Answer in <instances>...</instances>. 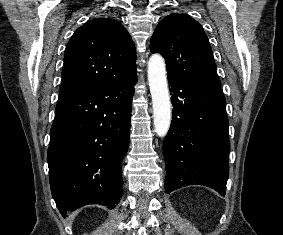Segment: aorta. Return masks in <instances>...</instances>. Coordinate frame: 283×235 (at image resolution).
I'll use <instances>...</instances> for the list:
<instances>
[{
    "mask_svg": "<svg viewBox=\"0 0 283 235\" xmlns=\"http://www.w3.org/2000/svg\"><path fill=\"white\" fill-rule=\"evenodd\" d=\"M148 81L153 104L154 129L159 137H164L171 123V102L165 61L159 54H154L149 59Z\"/></svg>",
    "mask_w": 283,
    "mask_h": 235,
    "instance_id": "obj_1",
    "label": "aorta"
}]
</instances>
